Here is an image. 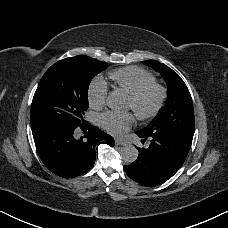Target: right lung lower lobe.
<instances>
[{
    "label": "right lung lower lobe",
    "instance_id": "1",
    "mask_svg": "<svg viewBox=\"0 0 228 228\" xmlns=\"http://www.w3.org/2000/svg\"><path fill=\"white\" fill-rule=\"evenodd\" d=\"M31 128L41 160L51 172L63 178H73L90 170L100 144H115L110 135L88 122L78 127L45 123ZM80 132L84 135L78 138Z\"/></svg>",
    "mask_w": 228,
    "mask_h": 228
}]
</instances>
